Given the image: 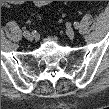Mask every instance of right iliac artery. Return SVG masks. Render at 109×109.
<instances>
[{
  "mask_svg": "<svg viewBox=\"0 0 109 109\" xmlns=\"http://www.w3.org/2000/svg\"><path fill=\"white\" fill-rule=\"evenodd\" d=\"M29 32L28 31H24V36H26Z\"/></svg>",
  "mask_w": 109,
  "mask_h": 109,
  "instance_id": "obj_1",
  "label": "right iliac artery"
}]
</instances>
